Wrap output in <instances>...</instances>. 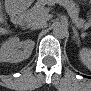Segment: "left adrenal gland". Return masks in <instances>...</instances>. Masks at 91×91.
I'll return each instance as SVG.
<instances>
[{
  "label": "left adrenal gland",
  "mask_w": 91,
  "mask_h": 91,
  "mask_svg": "<svg viewBox=\"0 0 91 91\" xmlns=\"http://www.w3.org/2000/svg\"><path fill=\"white\" fill-rule=\"evenodd\" d=\"M72 29H73L74 37L77 39V42H78V45H79L80 40H79V37H78V32H77L75 27H72Z\"/></svg>",
  "instance_id": "1"
}]
</instances>
